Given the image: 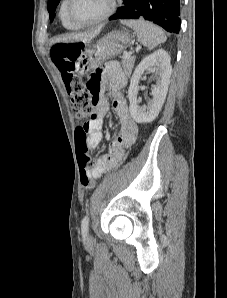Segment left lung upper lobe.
Segmentation results:
<instances>
[{
  "label": "left lung upper lobe",
  "instance_id": "5c2ea615",
  "mask_svg": "<svg viewBox=\"0 0 227 298\" xmlns=\"http://www.w3.org/2000/svg\"><path fill=\"white\" fill-rule=\"evenodd\" d=\"M59 2H60V0H48L47 8H48V11H49L51 21H53V19H54L55 9H56Z\"/></svg>",
  "mask_w": 227,
  "mask_h": 298
}]
</instances>
